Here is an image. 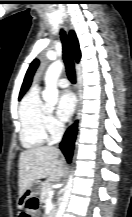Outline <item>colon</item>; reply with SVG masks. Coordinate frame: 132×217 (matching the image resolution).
<instances>
[{"label": "colon", "instance_id": "1", "mask_svg": "<svg viewBox=\"0 0 132 217\" xmlns=\"http://www.w3.org/2000/svg\"><path fill=\"white\" fill-rule=\"evenodd\" d=\"M38 201L35 198L29 199L24 206V210L22 211V217H36L38 212Z\"/></svg>", "mask_w": 132, "mask_h": 217}]
</instances>
